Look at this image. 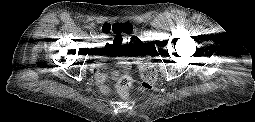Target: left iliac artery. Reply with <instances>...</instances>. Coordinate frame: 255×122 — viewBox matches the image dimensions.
<instances>
[{
    "mask_svg": "<svg viewBox=\"0 0 255 122\" xmlns=\"http://www.w3.org/2000/svg\"><path fill=\"white\" fill-rule=\"evenodd\" d=\"M151 33H152V32L149 30V31H146V33H145V34H146V35H148V36H150V35H151Z\"/></svg>",
    "mask_w": 255,
    "mask_h": 122,
    "instance_id": "obj_1",
    "label": "left iliac artery"
}]
</instances>
